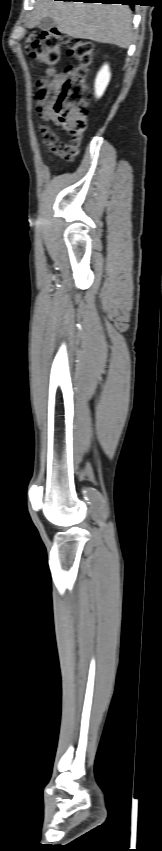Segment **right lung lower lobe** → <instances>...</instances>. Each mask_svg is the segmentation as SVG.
<instances>
[{"label": "right lung lower lobe", "mask_w": 162, "mask_h": 851, "mask_svg": "<svg viewBox=\"0 0 162 851\" xmlns=\"http://www.w3.org/2000/svg\"><path fill=\"white\" fill-rule=\"evenodd\" d=\"M64 1H83V2H100L104 4H117L120 3L122 5H133L137 0H64Z\"/></svg>", "instance_id": "right-lung-lower-lobe-1"}]
</instances>
